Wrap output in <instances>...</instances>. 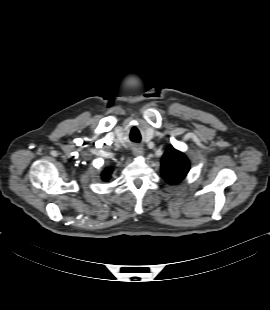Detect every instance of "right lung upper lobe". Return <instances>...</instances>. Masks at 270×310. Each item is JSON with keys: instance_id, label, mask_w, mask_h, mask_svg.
Segmentation results:
<instances>
[{"instance_id": "cb5924a9", "label": "right lung upper lobe", "mask_w": 270, "mask_h": 310, "mask_svg": "<svg viewBox=\"0 0 270 310\" xmlns=\"http://www.w3.org/2000/svg\"><path fill=\"white\" fill-rule=\"evenodd\" d=\"M112 169H106L103 171L102 173V179L107 181L110 178V174H111Z\"/></svg>"}]
</instances>
